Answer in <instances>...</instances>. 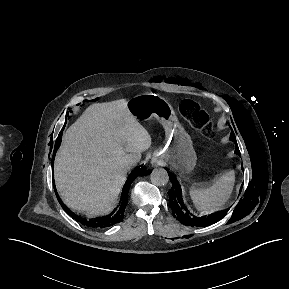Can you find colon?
Instances as JSON below:
<instances>
[{
  "instance_id": "colon-1",
  "label": "colon",
  "mask_w": 289,
  "mask_h": 289,
  "mask_svg": "<svg viewBox=\"0 0 289 289\" xmlns=\"http://www.w3.org/2000/svg\"><path fill=\"white\" fill-rule=\"evenodd\" d=\"M183 111L191 118L199 121L200 123L204 124V115L201 108L191 100H185L182 103Z\"/></svg>"
}]
</instances>
